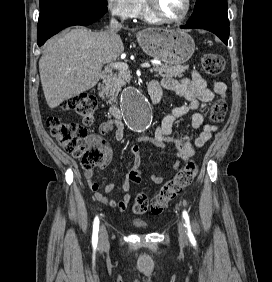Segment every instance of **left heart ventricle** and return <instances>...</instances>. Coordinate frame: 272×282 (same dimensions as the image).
Returning a JSON list of instances; mask_svg holds the SVG:
<instances>
[{"instance_id": "left-heart-ventricle-1", "label": "left heart ventricle", "mask_w": 272, "mask_h": 282, "mask_svg": "<svg viewBox=\"0 0 272 282\" xmlns=\"http://www.w3.org/2000/svg\"><path fill=\"white\" fill-rule=\"evenodd\" d=\"M159 10L167 17H179L185 11V0H155Z\"/></svg>"}]
</instances>
